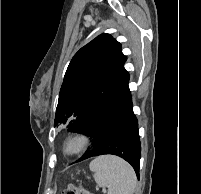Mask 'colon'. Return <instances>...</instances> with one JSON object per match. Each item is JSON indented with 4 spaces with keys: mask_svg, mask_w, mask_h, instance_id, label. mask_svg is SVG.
<instances>
[{
    "mask_svg": "<svg viewBox=\"0 0 201 194\" xmlns=\"http://www.w3.org/2000/svg\"><path fill=\"white\" fill-rule=\"evenodd\" d=\"M62 194H92L83 186L70 185Z\"/></svg>",
    "mask_w": 201,
    "mask_h": 194,
    "instance_id": "1",
    "label": "colon"
}]
</instances>
